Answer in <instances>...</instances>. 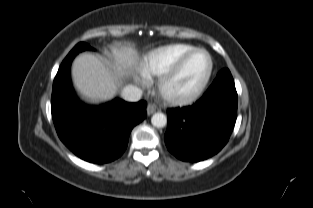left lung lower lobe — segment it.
Segmentation results:
<instances>
[{"label": "left lung lower lobe", "mask_w": 313, "mask_h": 208, "mask_svg": "<svg viewBox=\"0 0 313 208\" xmlns=\"http://www.w3.org/2000/svg\"><path fill=\"white\" fill-rule=\"evenodd\" d=\"M167 117L164 139L173 155L189 162L215 155L228 142L237 118L234 82L216 77L195 104L168 109Z\"/></svg>", "instance_id": "0a47b994"}]
</instances>
